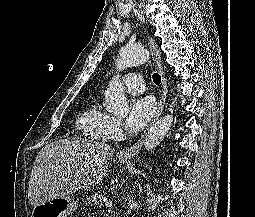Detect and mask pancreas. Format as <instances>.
<instances>
[{
  "instance_id": "obj_1",
  "label": "pancreas",
  "mask_w": 255,
  "mask_h": 217,
  "mask_svg": "<svg viewBox=\"0 0 255 217\" xmlns=\"http://www.w3.org/2000/svg\"><path fill=\"white\" fill-rule=\"evenodd\" d=\"M102 193L100 191H94L92 194H89V196H87L86 200H87V203L89 205H101L102 203Z\"/></svg>"
}]
</instances>
